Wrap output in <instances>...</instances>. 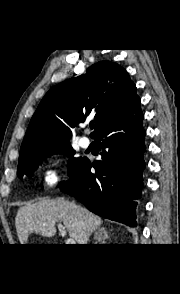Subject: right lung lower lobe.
I'll list each match as a JSON object with an SVG mask.
<instances>
[{"label":"right lung lower lobe","instance_id":"obj_1","mask_svg":"<svg viewBox=\"0 0 180 294\" xmlns=\"http://www.w3.org/2000/svg\"><path fill=\"white\" fill-rule=\"evenodd\" d=\"M140 99L107 122L95 135L102 160L86 159L61 187L95 214L136 226L135 200L143 185L145 130ZM95 168L92 174L90 169Z\"/></svg>","mask_w":180,"mask_h":294}]
</instances>
